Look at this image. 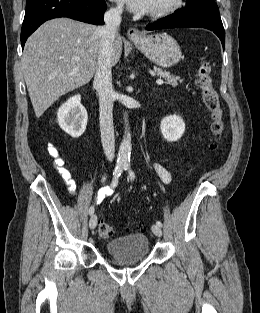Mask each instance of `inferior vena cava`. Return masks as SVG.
I'll return each instance as SVG.
<instances>
[{
	"label": "inferior vena cava",
	"mask_w": 260,
	"mask_h": 313,
	"mask_svg": "<svg viewBox=\"0 0 260 313\" xmlns=\"http://www.w3.org/2000/svg\"><path fill=\"white\" fill-rule=\"evenodd\" d=\"M121 6L111 8L104 14V25L99 27L100 52L94 76V87L99 95L100 131L103 150L107 160L112 161L115 153L113 127L114 91L112 87L113 42L121 23Z\"/></svg>",
	"instance_id": "1"
}]
</instances>
